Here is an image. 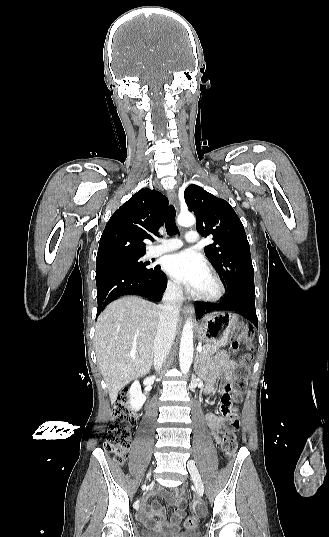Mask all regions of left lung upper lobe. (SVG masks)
<instances>
[{
  "mask_svg": "<svg viewBox=\"0 0 329 537\" xmlns=\"http://www.w3.org/2000/svg\"><path fill=\"white\" fill-rule=\"evenodd\" d=\"M184 198L196 216L197 231L203 237H213L214 243L205 247V255L222 275L228 293L255 290L249 243L231 205L197 185H189Z\"/></svg>",
  "mask_w": 329,
  "mask_h": 537,
  "instance_id": "5c2ea615",
  "label": "left lung upper lobe"
}]
</instances>
